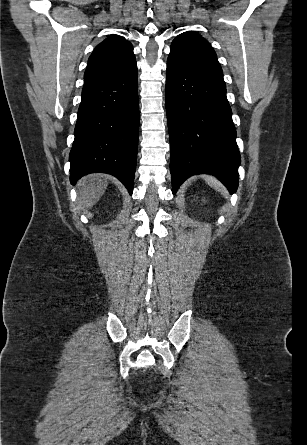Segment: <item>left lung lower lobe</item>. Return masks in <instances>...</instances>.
Here are the masks:
<instances>
[{
    "label": "left lung lower lobe",
    "instance_id": "obj_1",
    "mask_svg": "<svg viewBox=\"0 0 307 445\" xmlns=\"http://www.w3.org/2000/svg\"><path fill=\"white\" fill-rule=\"evenodd\" d=\"M166 111L172 192L188 177H218L232 194L238 187L240 154L226 86L168 57Z\"/></svg>",
    "mask_w": 307,
    "mask_h": 445
}]
</instances>
